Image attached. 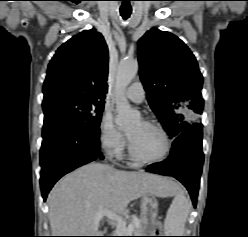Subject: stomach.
<instances>
[{
    "label": "stomach",
    "instance_id": "1",
    "mask_svg": "<svg viewBox=\"0 0 248 237\" xmlns=\"http://www.w3.org/2000/svg\"><path fill=\"white\" fill-rule=\"evenodd\" d=\"M173 194L172 188L165 189L162 194H145L141 198V219L144 221L145 233L153 230L158 214V201L156 197H166Z\"/></svg>",
    "mask_w": 248,
    "mask_h": 237
}]
</instances>
